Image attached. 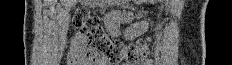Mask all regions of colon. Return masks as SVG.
<instances>
[{
	"mask_svg": "<svg viewBox=\"0 0 232 65\" xmlns=\"http://www.w3.org/2000/svg\"><path fill=\"white\" fill-rule=\"evenodd\" d=\"M73 25L82 35L76 39V47L80 54L92 64H119L125 61L127 64H135L140 58L149 53V42L140 39L132 45L109 38L99 20L80 8L73 18ZM85 40L88 48H84Z\"/></svg>",
	"mask_w": 232,
	"mask_h": 65,
	"instance_id": "obj_1",
	"label": "colon"
}]
</instances>
